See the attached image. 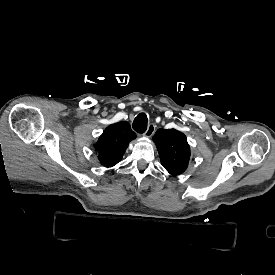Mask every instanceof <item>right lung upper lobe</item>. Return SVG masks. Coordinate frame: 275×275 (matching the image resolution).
Returning a JSON list of instances; mask_svg holds the SVG:
<instances>
[{
  "label": "right lung upper lobe",
  "mask_w": 275,
  "mask_h": 275,
  "mask_svg": "<svg viewBox=\"0 0 275 275\" xmlns=\"http://www.w3.org/2000/svg\"><path fill=\"white\" fill-rule=\"evenodd\" d=\"M135 138L136 134L128 122L121 121L109 125L95 145L101 164L112 167L120 162L129 142Z\"/></svg>",
  "instance_id": "cb5924a9"
}]
</instances>
